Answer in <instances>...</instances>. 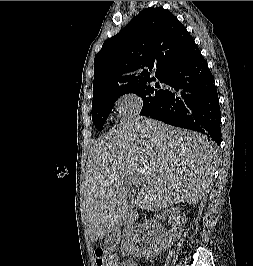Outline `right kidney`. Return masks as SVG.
<instances>
[{"label": "right kidney", "mask_w": 253, "mask_h": 266, "mask_svg": "<svg viewBox=\"0 0 253 266\" xmlns=\"http://www.w3.org/2000/svg\"><path fill=\"white\" fill-rule=\"evenodd\" d=\"M173 219L172 229L166 235L162 234V227L155 221L137 225L128 237L130 253L138 258L150 259L164 252L180 236L186 223L184 217Z\"/></svg>", "instance_id": "obj_1"}]
</instances>
